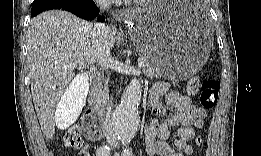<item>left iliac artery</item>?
<instances>
[{"mask_svg":"<svg viewBox=\"0 0 261 156\" xmlns=\"http://www.w3.org/2000/svg\"><path fill=\"white\" fill-rule=\"evenodd\" d=\"M129 143H130V138H128V137L122 138V144L125 146V149L122 153L123 156H132L133 155L132 149L130 148Z\"/></svg>","mask_w":261,"mask_h":156,"instance_id":"44dca946","label":"left iliac artery"}]
</instances>
